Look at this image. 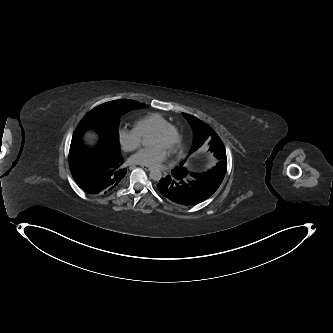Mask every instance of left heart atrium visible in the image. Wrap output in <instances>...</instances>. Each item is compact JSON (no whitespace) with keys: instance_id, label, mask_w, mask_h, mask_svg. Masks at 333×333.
<instances>
[{"instance_id":"1","label":"left heart atrium","mask_w":333,"mask_h":333,"mask_svg":"<svg viewBox=\"0 0 333 333\" xmlns=\"http://www.w3.org/2000/svg\"><path fill=\"white\" fill-rule=\"evenodd\" d=\"M166 156V150L160 147L149 146L142 148L131 156L130 162L140 165L156 166Z\"/></svg>"}]
</instances>
